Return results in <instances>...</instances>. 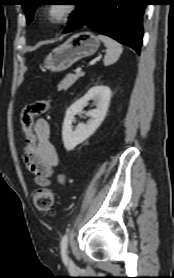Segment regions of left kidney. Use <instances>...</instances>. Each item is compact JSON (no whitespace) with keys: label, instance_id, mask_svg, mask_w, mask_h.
Masks as SVG:
<instances>
[{"label":"left kidney","instance_id":"5707ae66","mask_svg":"<svg viewBox=\"0 0 174 278\" xmlns=\"http://www.w3.org/2000/svg\"><path fill=\"white\" fill-rule=\"evenodd\" d=\"M111 98V90L107 86H94L79 100L74 102L66 111L62 126V139L66 150H73L77 145L88 139L103 122ZM97 102V107L85 113L90 117L87 124H78L73 130L74 116L82 112L90 100Z\"/></svg>","mask_w":174,"mask_h":278}]
</instances>
